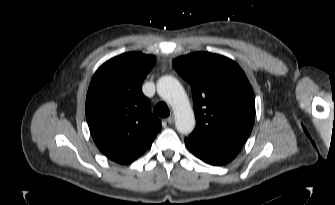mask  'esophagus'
Masks as SVG:
<instances>
[{
	"mask_svg": "<svg viewBox=\"0 0 335 205\" xmlns=\"http://www.w3.org/2000/svg\"><path fill=\"white\" fill-rule=\"evenodd\" d=\"M166 122L168 123V124H173L174 123V116H170V117H168L167 119H166Z\"/></svg>",
	"mask_w": 335,
	"mask_h": 205,
	"instance_id": "34e87169",
	"label": "esophagus"
}]
</instances>
